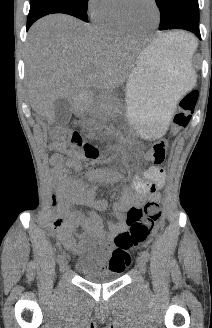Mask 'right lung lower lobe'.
Instances as JSON below:
<instances>
[{"label": "right lung lower lobe", "instance_id": "obj_1", "mask_svg": "<svg viewBox=\"0 0 212 328\" xmlns=\"http://www.w3.org/2000/svg\"><path fill=\"white\" fill-rule=\"evenodd\" d=\"M53 13L69 14L88 22L87 14L85 12L67 2L41 0L30 4V11L27 18V30L39 18Z\"/></svg>", "mask_w": 212, "mask_h": 328}]
</instances>
